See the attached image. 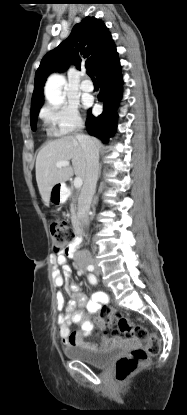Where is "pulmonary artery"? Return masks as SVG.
Listing matches in <instances>:
<instances>
[{"label": "pulmonary artery", "instance_id": "obj_1", "mask_svg": "<svg viewBox=\"0 0 187 415\" xmlns=\"http://www.w3.org/2000/svg\"><path fill=\"white\" fill-rule=\"evenodd\" d=\"M80 88L82 91L84 92H91L93 90V85L87 81L84 80L81 84H80Z\"/></svg>", "mask_w": 187, "mask_h": 415}]
</instances>
